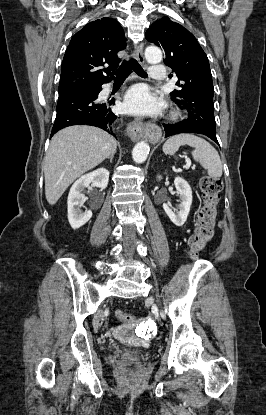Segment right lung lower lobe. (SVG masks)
Listing matches in <instances>:
<instances>
[{
  "instance_id": "1",
  "label": "right lung lower lobe",
  "mask_w": 266,
  "mask_h": 415,
  "mask_svg": "<svg viewBox=\"0 0 266 415\" xmlns=\"http://www.w3.org/2000/svg\"><path fill=\"white\" fill-rule=\"evenodd\" d=\"M101 90V86H95L85 92L59 95L51 136L67 126L82 124L99 127L115 136L113 125L119 117L110 108L114 100L100 102Z\"/></svg>"
}]
</instances>
